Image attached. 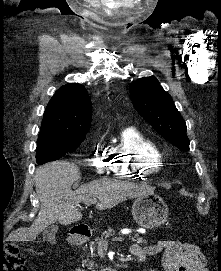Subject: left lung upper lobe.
I'll list each match as a JSON object with an SVG mask.
<instances>
[{
  "mask_svg": "<svg viewBox=\"0 0 221 271\" xmlns=\"http://www.w3.org/2000/svg\"><path fill=\"white\" fill-rule=\"evenodd\" d=\"M138 113L166 140L183 151L189 150L186 123L171 96L154 76L143 77L129 85Z\"/></svg>",
  "mask_w": 221,
  "mask_h": 271,
  "instance_id": "5c2ea615",
  "label": "left lung upper lobe"
}]
</instances>
